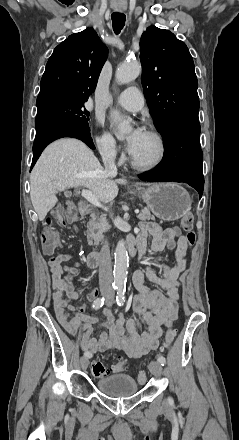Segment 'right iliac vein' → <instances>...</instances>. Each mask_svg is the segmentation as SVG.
Returning <instances> with one entry per match:
<instances>
[{
	"label": "right iliac vein",
	"instance_id": "right-iliac-vein-1",
	"mask_svg": "<svg viewBox=\"0 0 239 440\" xmlns=\"http://www.w3.org/2000/svg\"><path fill=\"white\" fill-rule=\"evenodd\" d=\"M88 364H89V360H88L87 357H82V358L80 359V365H81V368H82L83 370H86V369H87Z\"/></svg>",
	"mask_w": 239,
	"mask_h": 440
}]
</instances>
